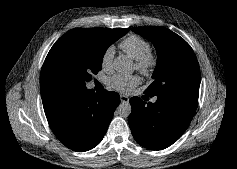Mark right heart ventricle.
<instances>
[{"label":"right heart ventricle","instance_id":"1","mask_svg":"<svg viewBox=\"0 0 237 169\" xmlns=\"http://www.w3.org/2000/svg\"><path fill=\"white\" fill-rule=\"evenodd\" d=\"M120 47L135 60L145 56L151 50L149 42L137 35H131L122 40Z\"/></svg>","mask_w":237,"mask_h":169}]
</instances>
